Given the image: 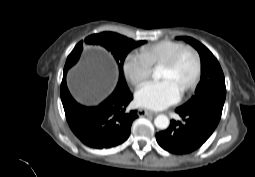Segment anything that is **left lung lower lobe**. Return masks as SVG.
Instances as JSON below:
<instances>
[{"mask_svg":"<svg viewBox=\"0 0 255 177\" xmlns=\"http://www.w3.org/2000/svg\"><path fill=\"white\" fill-rule=\"evenodd\" d=\"M176 112L184 123L172 120L168 129L156 134V140L163 149L178 155L200 148L214 132L221 118L206 111L193 112L177 108Z\"/></svg>","mask_w":255,"mask_h":177,"instance_id":"left-lung-lower-lobe-1","label":"left lung lower lobe"}]
</instances>
